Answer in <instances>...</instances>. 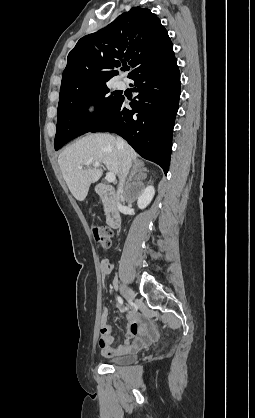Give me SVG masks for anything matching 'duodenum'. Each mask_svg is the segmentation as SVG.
<instances>
[{
  "label": "duodenum",
  "instance_id": "duodenum-1",
  "mask_svg": "<svg viewBox=\"0 0 255 418\" xmlns=\"http://www.w3.org/2000/svg\"><path fill=\"white\" fill-rule=\"evenodd\" d=\"M96 191L105 202L109 227L117 229L121 224V218L120 205L114 189L109 185L99 184Z\"/></svg>",
  "mask_w": 255,
  "mask_h": 418
}]
</instances>
